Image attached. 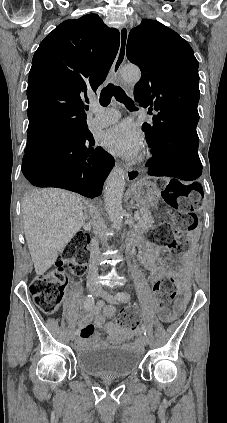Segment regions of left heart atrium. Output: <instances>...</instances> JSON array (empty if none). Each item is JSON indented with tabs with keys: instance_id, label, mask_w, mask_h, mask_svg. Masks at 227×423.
Returning <instances> with one entry per match:
<instances>
[{
	"instance_id": "1",
	"label": "left heart atrium",
	"mask_w": 227,
	"mask_h": 423,
	"mask_svg": "<svg viewBox=\"0 0 227 423\" xmlns=\"http://www.w3.org/2000/svg\"><path fill=\"white\" fill-rule=\"evenodd\" d=\"M101 143L110 153L132 160L138 159L144 148L142 133L127 124L104 131Z\"/></svg>"
}]
</instances>
